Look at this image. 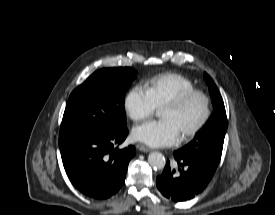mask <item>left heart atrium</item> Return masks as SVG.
<instances>
[{
    "label": "left heart atrium",
    "mask_w": 275,
    "mask_h": 215,
    "mask_svg": "<svg viewBox=\"0 0 275 215\" xmlns=\"http://www.w3.org/2000/svg\"><path fill=\"white\" fill-rule=\"evenodd\" d=\"M132 135L135 140L153 147L174 145L181 137L174 123L167 119L136 126Z\"/></svg>",
    "instance_id": "39dd6f15"
}]
</instances>
